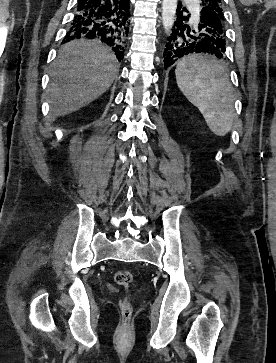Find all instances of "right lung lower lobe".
I'll return each mask as SVG.
<instances>
[{"label":"right lung lower lobe","instance_id":"obj_1","mask_svg":"<svg viewBox=\"0 0 276 363\" xmlns=\"http://www.w3.org/2000/svg\"><path fill=\"white\" fill-rule=\"evenodd\" d=\"M129 25V0H78L65 42L79 38L100 40L111 47L120 61Z\"/></svg>","mask_w":276,"mask_h":363}]
</instances>
